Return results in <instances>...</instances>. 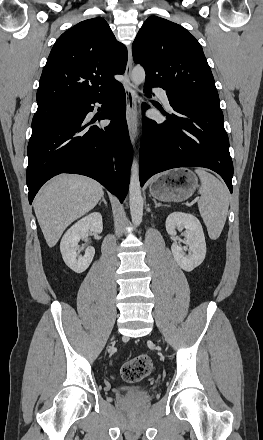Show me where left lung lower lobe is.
<instances>
[{"label":"left lung lower lobe","instance_id":"0a47b994","mask_svg":"<svg viewBox=\"0 0 263 440\" xmlns=\"http://www.w3.org/2000/svg\"><path fill=\"white\" fill-rule=\"evenodd\" d=\"M145 83L144 92L151 96ZM163 88V87H162ZM166 90L173 113L157 123L143 117L140 146L141 186L154 174L177 167H205L217 172L232 193L233 163L219 103L183 100ZM143 111L149 108L143 103Z\"/></svg>","mask_w":263,"mask_h":440}]
</instances>
